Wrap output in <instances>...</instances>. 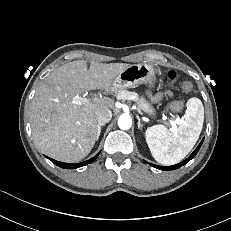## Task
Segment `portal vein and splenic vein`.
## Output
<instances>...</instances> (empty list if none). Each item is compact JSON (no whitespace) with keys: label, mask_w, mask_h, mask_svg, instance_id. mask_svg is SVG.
I'll use <instances>...</instances> for the list:
<instances>
[{"label":"portal vein and splenic vein","mask_w":231,"mask_h":231,"mask_svg":"<svg viewBox=\"0 0 231 231\" xmlns=\"http://www.w3.org/2000/svg\"><path fill=\"white\" fill-rule=\"evenodd\" d=\"M86 101V99L85 98H82V97H80V96H76V97H74V99H73V103H75V104H79V105H81V104H83L84 102ZM182 122V120L181 119H177V120H169V123L171 124V126H172V131H174V130H176V124H179V123H181Z\"/></svg>","instance_id":"obj_1"}]
</instances>
